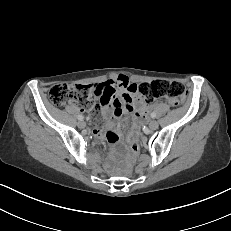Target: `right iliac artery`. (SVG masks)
Masks as SVG:
<instances>
[{"label":"right iliac artery","instance_id":"82829eb1","mask_svg":"<svg viewBox=\"0 0 231 231\" xmlns=\"http://www.w3.org/2000/svg\"><path fill=\"white\" fill-rule=\"evenodd\" d=\"M78 119H79V120H83L84 117H83L82 115H79V116H78Z\"/></svg>","mask_w":231,"mask_h":231}]
</instances>
